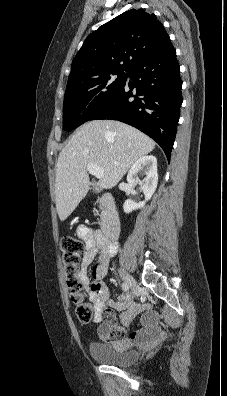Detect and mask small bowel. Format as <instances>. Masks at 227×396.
<instances>
[{
    "label": "small bowel",
    "mask_w": 227,
    "mask_h": 396,
    "mask_svg": "<svg viewBox=\"0 0 227 396\" xmlns=\"http://www.w3.org/2000/svg\"><path fill=\"white\" fill-rule=\"evenodd\" d=\"M79 237L85 242L84 253L78 277L82 281L90 301L96 309L95 322L100 323L98 337L109 343H123L133 341L141 346L150 347L164 339L165 332L157 326L158 314L147 304H138L128 294H120L116 299L110 296L109 288L104 283L110 260L117 253V244L104 242L92 228L80 226ZM97 259L92 269V280L88 274V267ZM114 311L120 313V325ZM142 314V328L135 332H128L134 319Z\"/></svg>",
    "instance_id": "c3829d8e"
}]
</instances>
